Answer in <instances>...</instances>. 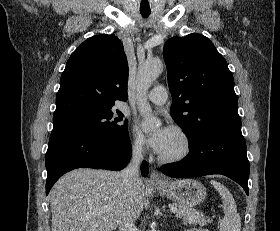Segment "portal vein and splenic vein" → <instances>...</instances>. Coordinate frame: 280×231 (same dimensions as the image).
<instances>
[{"label":"portal vein and splenic vein","mask_w":280,"mask_h":231,"mask_svg":"<svg viewBox=\"0 0 280 231\" xmlns=\"http://www.w3.org/2000/svg\"><path fill=\"white\" fill-rule=\"evenodd\" d=\"M171 211H173V213H176V211H178V207H174V205H171Z\"/></svg>","instance_id":"18ae733b"}]
</instances>
